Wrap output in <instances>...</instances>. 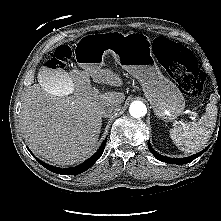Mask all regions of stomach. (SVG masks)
<instances>
[{
	"instance_id": "stomach-1",
	"label": "stomach",
	"mask_w": 221,
	"mask_h": 221,
	"mask_svg": "<svg viewBox=\"0 0 221 221\" xmlns=\"http://www.w3.org/2000/svg\"><path fill=\"white\" fill-rule=\"evenodd\" d=\"M83 40L87 45L81 47L77 56V63L83 70L101 69L105 57L111 54L124 70L138 79L158 118L173 121L184 110V97L177 86L160 72L148 36L111 31L87 36Z\"/></svg>"
}]
</instances>
